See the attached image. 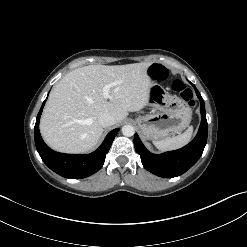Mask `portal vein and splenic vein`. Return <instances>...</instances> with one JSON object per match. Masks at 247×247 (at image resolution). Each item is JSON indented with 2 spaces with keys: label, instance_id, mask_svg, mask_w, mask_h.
I'll return each mask as SVG.
<instances>
[{
  "label": "portal vein and splenic vein",
  "instance_id": "obj_1",
  "mask_svg": "<svg viewBox=\"0 0 247 247\" xmlns=\"http://www.w3.org/2000/svg\"><path fill=\"white\" fill-rule=\"evenodd\" d=\"M117 83H111V84H107L103 87V97L105 99L109 98L110 95H109V92H110V89L115 86Z\"/></svg>",
  "mask_w": 247,
  "mask_h": 247
}]
</instances>
